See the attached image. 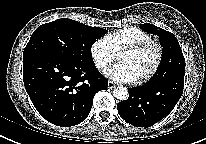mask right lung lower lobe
Listing matches in <instances>:
<instances>
[{"label":"right lung lower lobe","mask_w":206,"mask_h":144,"mask_svg":"<svg viewBox=\"0 0 206 144\" xmlns=\"http://www.w3.org/2000/svg\"><path fill=\"white\" fill-rule=\"evenodd\" d=\"M23 81L36 110L57 126H74L90 113L95 94L108 81L94 63L45 54L23 57Z\"/></svg>","instance_id":"1"}]
</instances>
